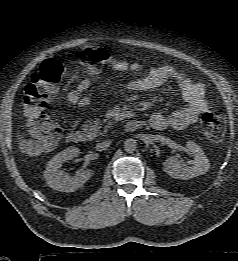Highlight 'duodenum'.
<instances>
[{"mask_svg": "<svg viewBox=\"0 0 238 261\" xmlns=\"http://www.w3.org/2000/svg\"><path fill=\"white\" fill-rule=\"evenodd\" d=\"M144 126V122L141 120H129L125 128L128 132H134L141 129ZM67 141L72 144L84 143L87 139L86 134L80 130H72L67 134Z\"/></svg>", "mask_w": 238, "mask_h": 261, "instance_id": "1", "label": "duodenum"}]
</instances>
